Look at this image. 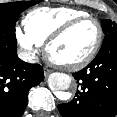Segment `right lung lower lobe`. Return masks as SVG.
<instances>
[{"instance_id": "98d812e1", "label": "right lung lower lobe", "mask_w": 117, "mask_h": 117, "mask_svg": "<svg viewBox=\"0 0 117 117\" xmlns=\"http://www.w3.org/2000/svg\"><path fill=\"white\" fill-rule=\"evenodd\" d=\"M15 29L0 26V117H20L28 103V91L44 79L39 64L17 57Z\"/></svg>"}]
</instances>
